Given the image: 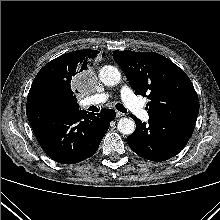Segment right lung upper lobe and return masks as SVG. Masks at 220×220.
<instances>
[{"mask_svg": "<svg viewBox=\"0 0 220 220\" xmlns=\"http://www.w3.org/2000/svg\"><path fill=\"white\" fill-rule=\"evenodd\" d=\"M98 53L97 50H76L50 61L34 78L27 103L32 102L33 94L38 89L51 87L64 94L72 109H78L77 99L71 90V81L75 75L88 69Z\"/></svg>", "mask_w": 220, "mask_h": 220, "instance_id": "cb5924a9", "label": "right lung upper lobe"}]
</instances>
